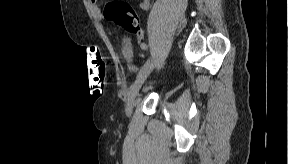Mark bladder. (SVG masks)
<instances>
[{"label":"bladder","mask_w":288,"mask_h":164,"mask_svg":"<svg viewBox=\"0 0 288 164\" xmlns=\"http://www.w3.org/2000/svg\"><path fill=\"white\" fill-rule=\"evenodd\" d=\"M125 52H126V55H127L129 58H131L132 53H131V50H130L129 47H126Z\"/></svg>","instance_id":"31cf9c89"}]
</instances>
